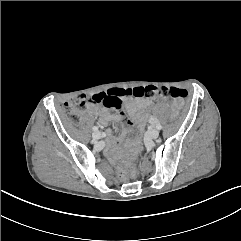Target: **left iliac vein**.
Segmentation results:
<instances>
[{
	"label": "left iliac vein",
	"mask_w": 241,
	"mask_h": 241,
	"mask_svg": "<svg viewBox=\"0 0 241 241\" xmlns=\"http://www.w3.org/2000/svg\"><path fill=\"white\" fill-rule=\"evenodd\" d=\"M148 136L151 138V139H156L158 138L159 136V131L157 129H151L149 132H148Z\"/></svg>",
	"instance_id": "obj_1"
}]
</instances>
